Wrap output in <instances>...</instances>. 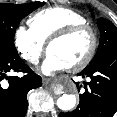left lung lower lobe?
<instances>
[{
  "label": "left lung lower lobe",
  "instance_id": "left-lung-lower-lobe-1",
  "mask_svg": "<svg viewBox=\"0 0 117 117\" xmlns=\"http://www.w3.org/2000/svg\"><path fill=\"white\" fill-rule=\"evenodd\" d=\"M78 75L91 80L84 84V93L76 110L59 114L60 117H112L117 111V50ZM80 90L79 82L76 83Z\"/></svg>",
  "mask_w": 117,
  "mask_h": 117
}]
</instances>
